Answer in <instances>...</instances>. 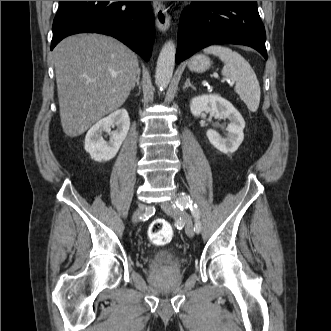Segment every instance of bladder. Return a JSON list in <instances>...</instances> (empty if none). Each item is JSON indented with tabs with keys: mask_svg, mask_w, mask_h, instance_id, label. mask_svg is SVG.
<instances>
[{
	"mask_svg": "<svg viewBox=\"0 0 331 331\" xmlns=\"http://www.w3.org/2000/svg\"><path fill=\"white\" fill-rule=\"evenodd\" d=\"M174 257L175 254L171 250H162L154 254V258L162 264L170 262Z\"/></svg>",
	"mask_w": 331,
	"mask_h": 331,
	"instance_id": "obj_1",
	"label": "bladder"
}]
</instances>
